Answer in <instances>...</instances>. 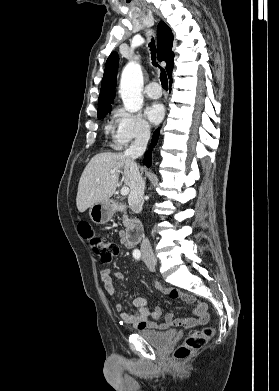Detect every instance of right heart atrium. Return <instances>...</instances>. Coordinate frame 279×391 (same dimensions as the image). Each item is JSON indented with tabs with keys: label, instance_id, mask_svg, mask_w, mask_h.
I'll return each mask as SVG.
<instances>
[{
	"label": "right heart atrium",
	"instance_id": "right-heart-atrium-1",
	"mask_svg": "<svg viewBox=\"0 0 279 391\" xmlns=\"http://www.w3.org/2000/svg\"><path fill=\"white\" fill-rule=\"evenodd\" d=\"M150 132V124L141 113L130 112L121 107L115 109L112 131L114 148L120 150L131 142L145 141Z\"/></svg>",
	"mask_w": 279,
	"mask_h": 391
}]
</instances>
